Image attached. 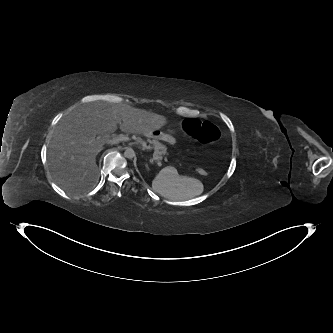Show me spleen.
I'll use <instances>...</instances> for the list:
<instances>
[{
  "label": "spleen",
  "instance_id": "1",
  "mask_svg": "<svg viewBox=\"0 0 333 333\" xmlns=\"http://www.w3.org/2000/svg\"><path fill=\"white\" fill-rule=\"evenodd\" d=\"M152 189L167 199L186 200L201 195L204 186L200 180L180 176L175 168L167 167L155 176Z\"/></svg>",
  "mask_w": 333,
  "mask_h": 333
}]
</instances>
